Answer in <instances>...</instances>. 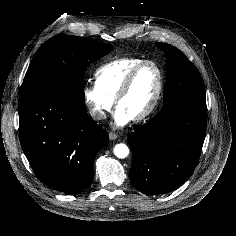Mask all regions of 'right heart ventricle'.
I'll list each match as a JSON object with an SVG mask.
<instances>
[{
	"label": "right heart ventricle",
	"instance_id": "1",
	"mask_svg": "<svg viewBox=\"0 0 236 236\" xmlns=\"http://www.w3.org/2000/svg\"><path fill=\"white\" fill-rule=\"evenodd\" d=\"M144 61L138 57H126L110 61L95 72V82L110 99L115 97L128 73Z\"/></svg>",
	"mask_w": 236,
	"mask_h": 236
}]
</instances>
